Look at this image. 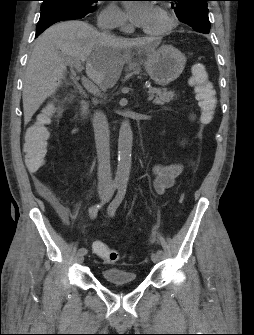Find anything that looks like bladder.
Returning a JSON list of instances; mask_svg holds the SVG:
<instances>
[{
  "label": "bladder",
  "mask_w": 254,
  "mask_h": 335,
  "mask_svg": "<svg viewBox=\"0 0 254 335\" xmlns=\"http://www.w3.org/2000/svg\"><path fill=\"white\" fill-rule=\"evenodd\" d=\"M106 283L114 287L127 286L136 283V274L120 267L106 268L102 271Z\"/></svg>",
  "instance_id": "bladder-1"
}]
</instances>
